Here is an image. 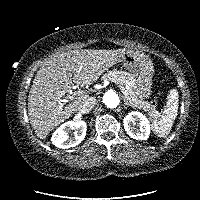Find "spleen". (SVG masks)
<instances>
[{
	"instance_id": "3e777b00",
	"label": "spleen",
	"mask_w": 200,
	"mask_h": 200,
	"mask_svg": "<svg viewBox=\"0 0 200 200\" xmlns=\"http://www.w3.org/2000/svg\"><path fill=\"white\" fill-rule=\"evenodd\" d=\"M178 98V91L176 89H171L163 114L160 118L153 120L152 130L159 137L165 138L171 131L178 112Z\"/></svg>"
}]
</instances>
